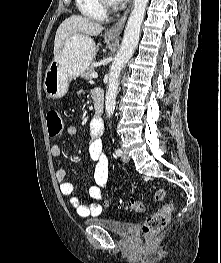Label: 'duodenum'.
Here are the masks:
<instances>
[{
  "label": "duodenum",
  "mask_w": 221,
  "mask_h": 263,
  "mask_svg": "<svg viewBox=\"0 0 221 263\" xmlns=\"http://www.w3.org/2000/svg\"><path fill=\"white\" fill-rule=\"evenodd\" d=\"M93 103H94V116L93 123L96 128L102 129V112L104 107V95L102 92L95 91L93 93Z\"/></svg>",
  "instance_id": "obj_1"
}]
</instances>
